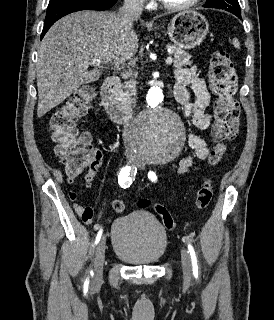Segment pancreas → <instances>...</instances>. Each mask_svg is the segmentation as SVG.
Returning <instances> with one entry per match:
<instances>
[{
  "mask_svg": "<svg viewBox=\"0 0 274 320\" xmlns=\"http://www.w3.org/2000/svg\"><path fill=\"white\" fill-rule=\"evenodd\" d=\"M166 48L167 50H171V54L174 56L173 66H175V68L190 66V64H192V62H190V54L184 52L182 48H176V46H166ZM136 84L137 82L130 80V82H126V84H124L123 88H116L115 96L118 98V102H120L122 106H131V104H134V100L131 96H136Z\"/></svg>",
  "mask_w": 274,
  "mask_h": 320,
  "instance_id": "cf45deb5",
  "label": "pancreas"
}]
</instances>
